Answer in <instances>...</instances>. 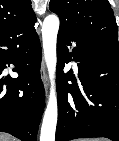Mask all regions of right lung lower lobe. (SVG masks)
Returning a JSON list of instances; mask_svg holds the SVG:
<instances>
[{
  "label": "right lung lower lobe",
  "instance_id": "obj_1",
  "mask_svg": "<svg viewBox=\"0 0 119 141\" xmlns=\"http://www.w3.org/2000/svg\"><path fill=\"white\" fill-rule=\"evenodd\" d=\"M35 23L0 38V132L22 141H36L45 105L40 77L42 52ZM9 64L15 65L17 78L3 76Z\"/></svg>",
  "mask_w": 119,
  "mask_h": 141
}]
</instances>
